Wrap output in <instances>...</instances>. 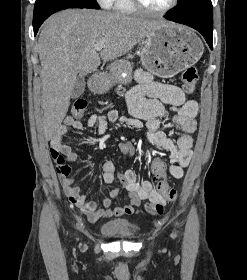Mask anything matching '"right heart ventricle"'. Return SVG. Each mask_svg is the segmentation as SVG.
Here are the masks:
<instances>
[{
    "label": "right heart ventricle",
    "mask_w": 247,
    "mask_h": 280,
    "mask_svg": "<svg viewBox=\"0 0 247 280\" xmlns=\"http://www.w3.org/2000/svg\"><path fill=\"white\" fill-rule=\"evenodd\" d=\"M112 7L115 11L122 14H133L137 11L131 0H114Z\"/></svg>",
    "instance_id": "right-heart-ventricle-1"
}]
</instances>
